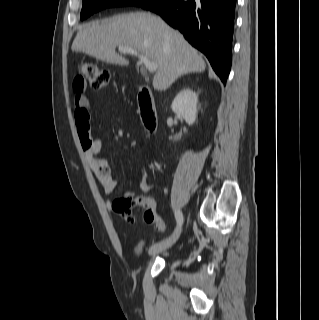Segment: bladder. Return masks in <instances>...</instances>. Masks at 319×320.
I'll return each mask as SVG.
<instances>
[{"instance_id":"bladder-1","label":"bladder","mask_w":319,"mask_h":320,"mask_svg":"<svg viewBox=\"0 0 319 320\" xmlns=\"http://www.w3.org/2000/svg\"><path fill=\"white\" fill-rule=\"evenodd\" d=\"M144 248V243L142 241H139L135 246V253L140 256L142 253V250Z\"/></svg>"}]
</instances>
